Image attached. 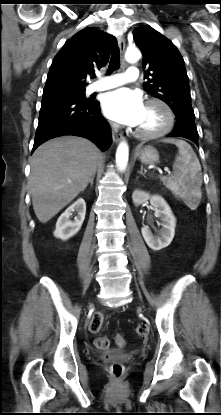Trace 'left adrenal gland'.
<instances>
[{
    "label": "left adrenal gland",
    "mask_w": 221,
    "mask_h": 415,
    "mask_svg": "<svg viewBox=\"0 0 221 415\" xmlns=\"http://www.w3.org/2000/svg\"><path fill=\"white\" fill-rule=\"evenodd\" d=\"M139 174L143 175V166H141V171H139Z\"/></svg>",
    "instance_id": "left-adrenal-gland-1"
}]
</instances>
